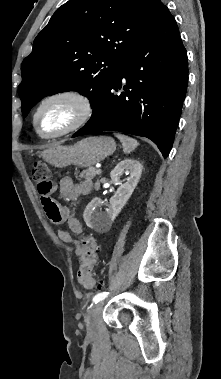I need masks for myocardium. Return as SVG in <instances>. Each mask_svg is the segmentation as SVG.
I'll list each match as a JSON object with an SVG mask.
<instances>
[{
  "label": "myocardium",
  "mask_w": 221,
  "mask_h": 379,
  "mask_svg": "<svg viewBox=\"0 0 221 379\" xmlns=\"http://www.w3.org/2000/svg\"><path fill=\"white\" fill-rule=\"evenodd\" d=\"M65 100L70 102L75 110L73 120L65 128L50 134H44L38 127V118L44 107L54 101ZM93 104L91 99L83 92L74 89H65L52 92L40 100L32 112L31 125L35 134L41 139H56L70 134L84 126L91 118Z\"/></svg>",
  "instance_id": "obj_1"
}]
</instances>
